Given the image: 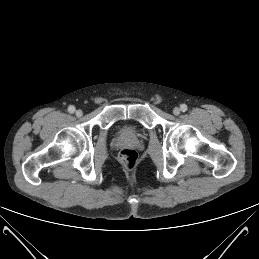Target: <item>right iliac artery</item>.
Here are the masks:
<instances>
[{
  "instance_id": "obj_1",
  "label": "right iliac artery",
  "mask_w": 259,
  "mask_h": 259,
  "mask_svg": "<svg viewBox=\"0 0 259 259\" xmlns=\"http://www.w3.org/2000/svg\"><path fill=\"white\" fill-rule=\"evenodd\" d=\"M68 111H69V113H74V112H75V107L72 106V105H70V106L68 107Z\"/></svg>"
}]
</instances>
